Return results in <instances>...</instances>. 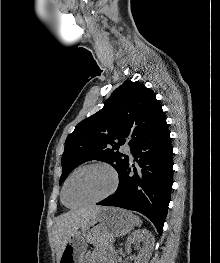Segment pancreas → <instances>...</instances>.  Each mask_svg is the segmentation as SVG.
Returning a JSON list of instances; mask_svg holds the SVG:
<instances>
[{"label": "pancreas", "instance_id": "pancreas-1", "mask_svg": "<svg viewBox=\"0 0 220 263\" xmlns=\"http://www.w3.org/2000/svg\"><path fill=\"white\" fill-rule=\"evenodd\" d=\"M92 244L96 245L95 242L91 241ZM97 246V245H96Z\"/></svg>", "mask_w": 220, "mask_h": 263}]
</instances>
